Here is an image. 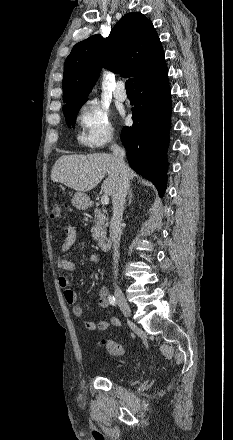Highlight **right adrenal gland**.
Listing matches in <instances>:
<instances>
[{
  "mask_svg": "<svg viewBox=\"0 0 233 440\" xmlns=\"http://www.w3.org/2000/svg\"><path fill=\"white\" fill-rule=\"evenodd\" d=\"M132 198H133L132 189H130L129 196H128V205H130L132 203Z\"/></svg>",
  "mask_w": 233,
  "mask_h": 440,
  "instance_id": "1",
  "label": "right adrenal gland"
}]
</instances>
